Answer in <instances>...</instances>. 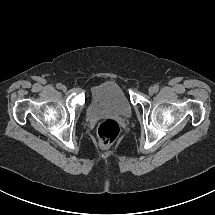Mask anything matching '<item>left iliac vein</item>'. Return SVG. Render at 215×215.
I'll return each mask as SVG.
<instances>
[{"mask_svg": "<svg viewBox=\"0 0 215 215\" xmlns=\"http://www.w3.org/2000/svg\"><path fill=\"white\" fill-rule=\"evenodd\" d=\"M148 92H149L150 95H153V94L156 92V90H155V88H154L153 86H151V87L148 89Z\"/></svg>", "mask_w": 215, "mask_h": 215, "instance_id": "left-iliac-vein-1", "label": "left iliac vein"}]
</instances>
